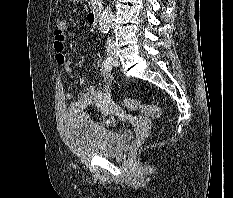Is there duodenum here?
<instances>
[{"instance_id":"1","label":"duodenum","mask_w":233,"mask_h":198,"mask_svg":"<svg viewBox=\"0 0 233 198\" xmlns=\"http://www.w3.org/2000/svg\"><path fill=\"white\" fill-rule=\"evenodd\" d=\"M101 18V11L99 9L92 10L87 16V22L89 25H96Z\"/></svg>"}]
</instances>
